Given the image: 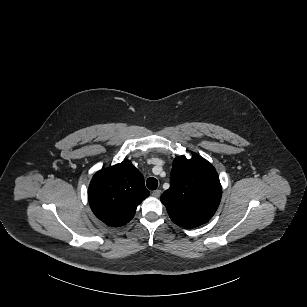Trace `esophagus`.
<instances>
[{
  "label": "esophagus",
  "instance_id": "34e87169",
  "mask_svg": "<svg viewBox=\"0 0 307 307\" xmlns=\"http://www.w3.org/2000/svg\"><path fill=\"white\" fill-rule=\"evenodd\" d=\"M160 195H161V190H155L152 192V196L155 198L160 197Z\"/></svg>",
  "mask_w": 307,
  "mask_h": 307
}]
</instances>
